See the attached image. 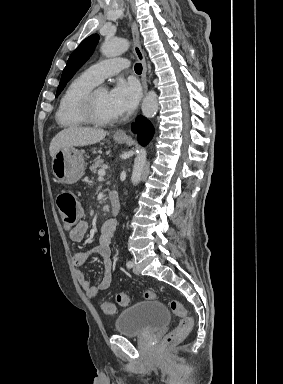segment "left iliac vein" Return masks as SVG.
<instances>
[{
  "label": "left iliac vein",
  "mask_w": 283,
  "mask_h": 384,
  "mask_svg": "<svg viewBox=\"0 0 283 384\" xmlns=\"http://www.w3.org/2000/svg\"><path fill=\"white\" fill-rule=\"evenodd\" d=\"M132 263H133V272L135 273V274H139V270H138V268H137V266L134 264V261L132 260L131 261Z\"/></svg>",
  "instance_id": "1"
}]
</instances>
